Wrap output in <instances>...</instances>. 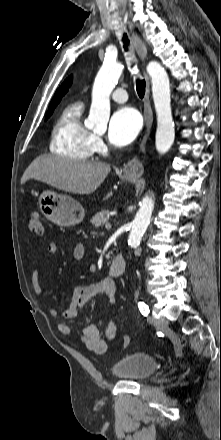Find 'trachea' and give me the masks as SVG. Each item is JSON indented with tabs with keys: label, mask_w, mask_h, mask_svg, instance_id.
<instances>
[{
	"label": "trachea",
	"mask_w": 221,
	"mask_h": 440,
	"mask_svg": "<svg viewBox=\"0 0 221 440\" xmlns=\"http://www.w3.org/2000/svg\"><path fill=\"white\" fill-rule=\"evenodd\" d=\"M123 42H124V48H125V50H127L128 45H129V40H128L127 34H125V33L123 35ZM145 87H146L145 80L137 79V81H136V90H137L138 96L141 99L145 95Z\"/></svg>",
	"instance_id": "3493384b"
}]
</instances>
